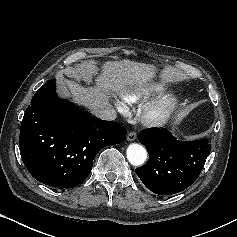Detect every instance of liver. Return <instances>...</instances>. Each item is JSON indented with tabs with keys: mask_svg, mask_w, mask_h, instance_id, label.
<instances>
[{
	"mask_svg": "<svg viewBox=\"0 0 237 237\" xmlns=\"http://www.w3.org/2000/svg\"><path fill=\"white\" fill-rule=\"evenodd\" d=\"M95 70L94 66H89ZM101 74L95 79V86H83L79 82L61 77L63 93L72 101L90 110L110 106L111 91L122 93L128 88L143 89L155 76V67L130 60L107 61L99 69Z\"/></svg>",
	"mask_w": 237,
	"mask_h": 237,
	"instance_id": "liver-1",
	"label": "liver"
}]
</instances>
